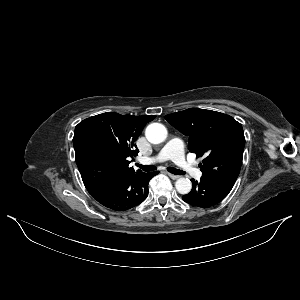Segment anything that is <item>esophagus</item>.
Returning <instances> with one entry per match:
<instances>
[{"label": "esophagus", "mask_w": 300, "mask_h": 300, "mask_svg": "<svg viewBox=\"0 0 300 300\" xmlns=\"http://www.w3.org/2000/svg\"><path fill=\"white\" fill-rule=\"evenodd\" d=\"M168 176H169L171 179H173V180H177V179L180 178V176L174 175V174H172V173H168Z\"/></svg>", "instance_id": "34e87169"}]
</instances>
